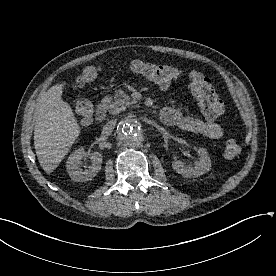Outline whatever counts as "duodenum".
Returning <instances> with one entry per match:
<instances>
[{
    "mask_svg": "<svg viewBox=\"0 0 276 276\" xmlns=\"http://www.w3.org/2000/svg\"><path fill=\"white\" fill-rule=\"evenodd\" d=\"M106 115H107L106 103L99 104L95 111V119L98 122H103L106 119Z\"/></svg>",
    "mask_w": 276,
    "mask_h": 276,
    "instance_id": "obj_1",
    "label": "duodenum"
}]
</instances>
